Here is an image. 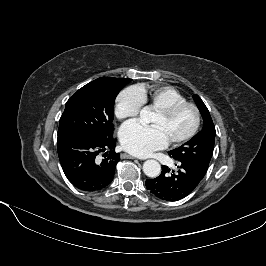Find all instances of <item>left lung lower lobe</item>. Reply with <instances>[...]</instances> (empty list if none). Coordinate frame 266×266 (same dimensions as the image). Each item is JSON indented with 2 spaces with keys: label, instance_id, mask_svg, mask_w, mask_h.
I'll return each mask as SVG.
<instances>
[{
  "label": "left lung lower lobe",
  "instance_id": "0a47b994",
  "mask_svg": "<svg viewBox=\"0 0 266 266\" xmlns=\"http://www.w3.org/2000/svg\"><path fill=\"white\" fill-rule=\"evenodd\" d=\"M178 172L162 166L160 176L146 180V188L156 197L166 201H177L189 195L203 179L189 166L178 162Z\"/></svg>",
  "mask_w": 266,
  "mask_h": 266
}]
</instances>
